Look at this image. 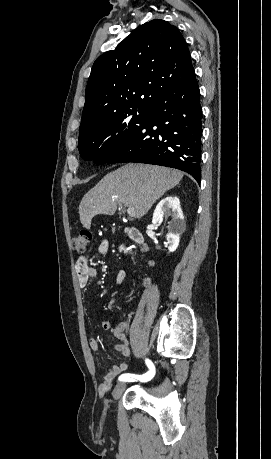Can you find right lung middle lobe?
<instances>
[{
  "instance_id": "right-lung-middle-lobe-1",
  "label": "right lung middle lobe",
  "mask_w": 271,
  "mask_h": 459,
  "mask_svg": "<svg viewBox=\"0 0 271 459\" xmlns=\"http://www.w3.org/2000/svg\"><path fill=\"white\" fill-rule=\"evenodd\" d=\"M148 110V105H142L125 112L82 122L78 139L81 157L98 165L108 163L144 122Z\"/></svg>"
}]
</instances>
